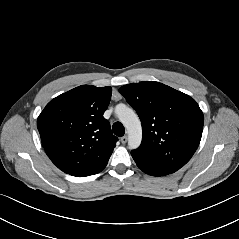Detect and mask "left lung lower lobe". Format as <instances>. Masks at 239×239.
I'll return each instance as SVG.
<instances>
[{
	"label": "left lung lower lobe",
	"instance_id": "1",
	"mask_svg": "<svg viewBox=\"0 0 239 239\" xmlns=\"http://www.w3.org/2000/svg\"><path fill=\"white\" fill-rule=\"evenodd\" d=\"M137 166L145 173L149 174V175H152V176H164V175H167L166 173H163L162 171H159L157 169H154V168H151V167H148L142 163H139L137 161H135Z\"/></svg>",
	"mask_w": 239,
	"mask_h": 239
}]
</instances>
